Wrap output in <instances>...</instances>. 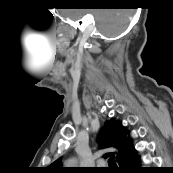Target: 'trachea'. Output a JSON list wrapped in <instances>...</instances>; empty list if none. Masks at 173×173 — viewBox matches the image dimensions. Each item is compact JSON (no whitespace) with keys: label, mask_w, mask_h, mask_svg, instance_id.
<instances>
[{"label":"trachea","mask_w":173,"mask_h":173,"mask_svg":"<svg viewBox=\"0 0 173 173\" xmlns=\"http://www.w3.org/2000/svg\"><path fill=\"white\" fill-rule=\"evenodd\" d=\"M108 163H109V169H113V168L116 167V163H115L114 157H111V158L109 159Z\"/></svg>","instance_id":"obj_1"}]
</instances>
